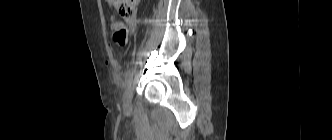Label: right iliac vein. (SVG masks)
<instances>
[{"instance_id":"1","label":"right iliac vein","mask_w":332,"mask_h":140,"mask_svg":"<svg viewBox=\"0 0 332 140\" xmlns=\"http://www.w3.org/2000/svg\"><path fill=\"white\" fill-rule=\"evenodd\" d=\"M131 101H132V87L130 84L123 97V109L125 112H129L131 110Z\"/></svg>"}]
</instances>
